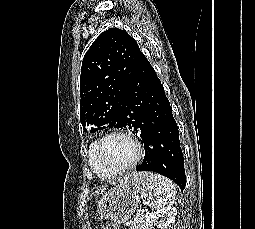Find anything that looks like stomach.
Returning a JSON list of instances; mask_svg holds the SVG:
<instances>
[{
	"mask_svg": "<svg viewBox=\"0 0 255 229\" xmlns=\"http://www.w3.org/2000/svg\"><path fill=\"white\" fill-rule=\"evenodd\" d=\"M157 184L150 172L126 174L99 207L100 218L112 223H126L142 199L152 196Z\"/></svg>",
	"mask_w": 255,
	"mask_h": 229,
	"instance_id": "stomach-1",
	"label": "stomach"
}]
</instances>
